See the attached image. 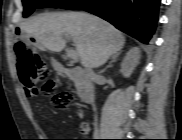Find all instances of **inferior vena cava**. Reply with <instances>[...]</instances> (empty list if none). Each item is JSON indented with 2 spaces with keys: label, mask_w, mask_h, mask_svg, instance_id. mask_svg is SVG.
<instances>
[{
  "label": "inferior vena cava",
  "mask_w": 182,
  "mask_h": 140,
  "mask_svg": "<svg viewBox=\"0 0 182 140\" xmlns=\"http://www.w3.org/2000/svg\"><path fill=\"white\" fill-rule=\"evenodd\" d=\"M87 73H88V77H89V79H90V81L91 82H96V79H97V75L94 73V71H92V69H87ZM94 101L92 100V105H93V107L95 106L94 105V103H93ZM94 109H95V107H94Z\"/></svg>",
  "instance_id": "602c4592"
}]
</instances>
